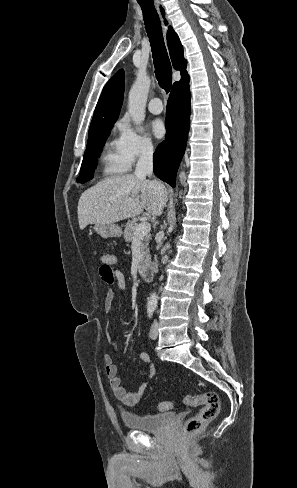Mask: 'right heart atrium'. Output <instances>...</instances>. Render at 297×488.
Returning <instances> with one entry per match:
<instances>
[{"label":"right heart atrium","instance_id":"d8ad5b80","mask_svg":"<svg viewBox=\"0 0 297 488\" xmlns=\"http://www.w3.org/2000/svg\"><path fill=\"white\" fill-rule=\"evenodd\" d=\"M118 129L120 153L128 167L153 156L155 145L147 135L136 131L127 121H120Z\"/></svg>","mask_w":297,"mask_h":488}]
</instances>
